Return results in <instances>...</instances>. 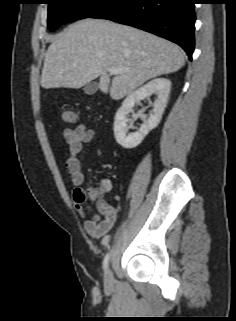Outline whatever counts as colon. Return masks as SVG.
I'll list each match as a JSON object with an SVG mask.
<instances>
[{
    "label": "colon",
    "mask_w": 236,
    "mask_h": 321,
    "mask_svg": "<svg viewBox=\"0 0 236 321\" xmlns=\"http://www.w3.org/2000/svg\"><path fill=\"white\" fill-rule=\"evenodd\" d=\"M61 120L64 124H73L76 122L77 118L73 111L68 109H63L61 111ZM78 193L82 199H86V198L97 199L99 197L98 191L94 187H88L87 189H79Z\"/></svg>",
    "instance_id": "colon-1"
}]
</instances>
